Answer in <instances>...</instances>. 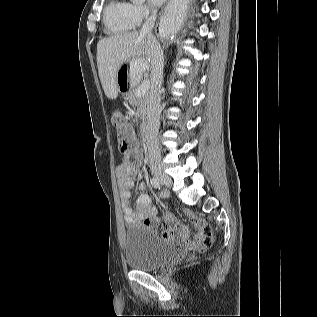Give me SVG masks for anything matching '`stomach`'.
I'll list each match as a JSON object with an SVG mask.
<instances>
[{
	"instance_id": "stomach-1",
	"label": "stomach",
	"mask_w": 317,
	"mask_h": 317,
	"mask_svg": "<svg viewBox=\"0 0 317 317\" xmlns=\"http://www.w3.org/2000/svg\"><path fill=\"white\" fill-rule=\"evenodd\" d=\"M145 66H148V59H125L117 72V84L115 90L118 94H133L130 87L142 83V76L145 74Z\"/></svg>"
}]
</instances>
